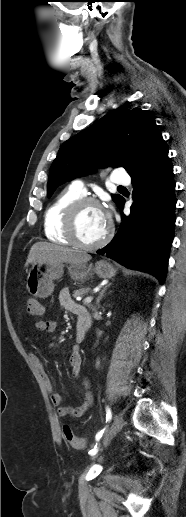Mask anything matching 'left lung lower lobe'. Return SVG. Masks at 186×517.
<instances>
[{
  "mask_svg": "<svg viewBox=\"0 0 186 517\" xmlns=\"http://www.w3.org/2000/svg\"><path fill=\"white\" fill-rule=\"evenodd\" d=\"M129 175L136 197L113 240L97 251L120 264L146 271L163 283L175 225V182L168 147L161 138ZM124 198L117 204L122 210Z\"/></svg>",
  "mask_w": 186,
  "mask_h": 517,
  "instance_id": "0a47b994",
  "label": "left lung lower lobe"
}]
</instances>
